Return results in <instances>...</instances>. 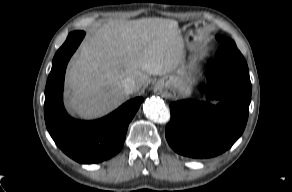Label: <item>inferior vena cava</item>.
Wrapping results in <instances>:
<instances>
[{"instance_id":"602c4592","label":"inferior vena cava","mask_w":292,"mask_h":192,"mask_svg":"<svg viewBox=\"0 0 292 192\" xmlns=\"http://www.w3.org/2000/svg\"><path fill=\"white\" fill-rule=\"evenodd\" d=\"M135 81L132 78H125L122 81L123 91L128 95L134 92L135 90Z\"/></svg>"}]
</instances>
